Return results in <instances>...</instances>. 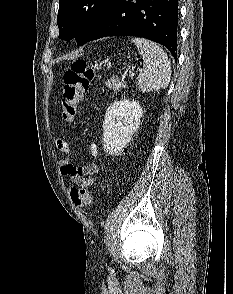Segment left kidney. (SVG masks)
I'll use <instances>...</instances> for the list:
<instances>
[{"label":"left kidney","instance_id":"5707ae66","mask_svg":"<svg viewBox=\"0 0 233 294\" xmlns=\"http://www.w3.org/2000/svg\"><path fill=\"white\" fill-rule=\"evenodd\" d=\"M143 110L136 101H115L109 106L104 118V150L109 155L119 154L130 142L139 127Z\"/></svg>","mask_w":233,"mask_h":294}]
</instances>
